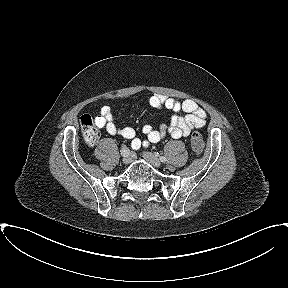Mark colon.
I'll use <instances>...</instances> for the list:
<instances>
[{
    "label": "colon",
    "instance_id": "colon-1",
    "mask_svg": "<svg viewBox=\"0 0 288 288\" xmlns=\"http://www.w3.org/2000/svg\"><path fill=\"white\" fill-rule=\"evenodd\" d=\"M82 134L88 144H95L99 139V131L90 115H83L80 119ZM191 148L196 155H201L204 149V141L199 132L191 136Z\"/></svg>",
    "mask_w": 288,
    "mask_h": 288
}]
</instances>
